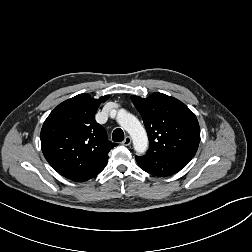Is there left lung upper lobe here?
Here are the masks:
<instances>
[{"label": "left lung upper lobe", "mask_w": 252, "mask_h": 252, "mask_svg": "<svg viewBox=\"0 0 252 252\" xmlns=\"http://www.w3.org/2000/svg\"><path fill=\"white\" fill-rule=\"evenodd\" d=\"M140 112L149 137L145 157L182 156L192 159L200 142L195 114L181 101L162 93L148 98L131 96Z\"/></svg>", "instance_id": "1"}]
</instances>
